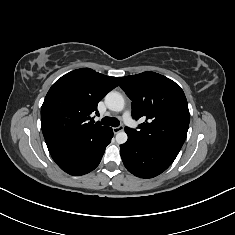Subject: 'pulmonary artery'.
Here are the masks:
<instances>
[{
	"label": "pulmonary artery",
	"mask_w": 235,
	"mask_h": 235,
	"mask_svg": "<svg viewBox=\"0 0 235 235\" xmlns=\"http://www.w3.org/2000/svg\"><path fill=\"white\" fill-rule=\"evenodd\" d=\"M123 119H124V122L132 129H135L136 128V123L134 122V120L132 119L131 117V114L129 111H126L124 114H123Z\"/></svg>",
	"instance_id": "pulmonary-artery-1"
}]
</instances>
